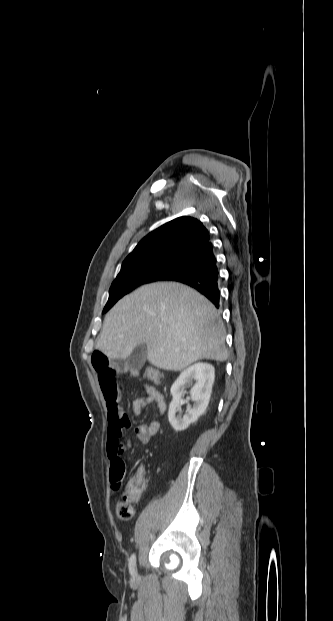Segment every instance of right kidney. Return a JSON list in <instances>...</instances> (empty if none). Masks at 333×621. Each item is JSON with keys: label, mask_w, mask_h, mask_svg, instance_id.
<instances>
[{"label": "right kidney", "mask_w": 333, "mask_h": 621, "mask_svg": "<svg viewBox=\"0 0 333 621\" xmlns=\"http://www.w3.org/2000/svg\"><path fill=\"white\" fill-rule=\"evenodd\" d=\"M215 378V369L208 363H195L185 369L171 387L172 401L169 406L168 420L176 431L185 430L191 423L202 415L210 400L212 386ZM195 381L190 390L193 406H189L188 412L181 416L176 415L181 406V399L185 394V384Z\"/></svg>", "instance_id": "ca27d5eb"}]
</instances>
